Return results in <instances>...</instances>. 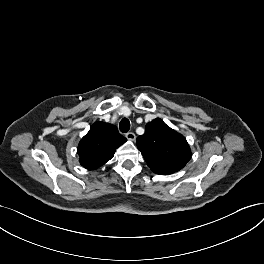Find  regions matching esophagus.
I'll return each mask as SVG.
<instances>
[{
    "mask_svg": "<svg viewBox=\"0 0 264 264\" xmlns=\"http://www.w3.org/2000/svg\"><path fill=\"white\" fill-rule=\"evenodd\" d=\"M125 136L130 141H134L136 139V136L133 132H128Z\"/></svg>",
    "mask_w": 264,
    "mask_h": 264,
    "instance_id": "obj_1",
    "label": "esophagus"
}]
</instances>
